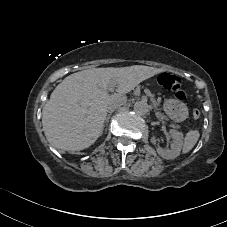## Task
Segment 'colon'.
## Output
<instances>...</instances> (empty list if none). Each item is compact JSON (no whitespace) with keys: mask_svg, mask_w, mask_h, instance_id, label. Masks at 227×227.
Listing matches in <instances>:
<instances>
[{"mask_svg":"<svg viewBox=\"0 0 227 227\" xmlns=\"http://www.w3.org/2000/svg\"><path fill=\"white\" fill-rule=\"evenodd\" d=\"M158 82L164 89L171 92L175 98L179 100H185L187 98V92L183 88L181 77L163 72L160 74ZM191 114L193 119L197 120L201 117L202 112L199 107H194Z\"/></svg>","mask_w":227,"mask_h":227,"instance_id":"5ec220e1","label":"colon"}]
</instances>
